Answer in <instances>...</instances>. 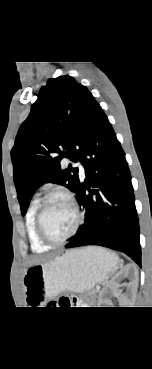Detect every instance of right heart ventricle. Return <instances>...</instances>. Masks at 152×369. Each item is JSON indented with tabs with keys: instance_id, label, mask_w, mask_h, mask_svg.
Returning a JSON list of instances; mask_svg holds the SVG:
<instances>
[{
	"instance_id": "right-heart-ventricle-1",
	"label": "right heart ventricle",
	"mask_w": 152,
	"mask_h": 369,
	"mask_svg": "<svg viewBox=\"0 0 152 369\" xmlns=\"http://www.w3.org/2000/svg\"><path fill=\"white\" fill-rule=\"evenodd\" d=\"M39 203V198H34L29 205L26 214V230L32 250L34 252L41 253L47 251L49 249V245L41 241L36 231L35 218Z\"/></svg>"
}]
</instances>
